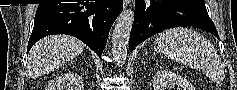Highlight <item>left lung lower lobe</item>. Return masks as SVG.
Listing matches in <instances>:
<instances>
[{"label":"left lung lower lobe","instance_id":"0a47b994","mask_svg":"<svg viewBox=\"0 0 237 90\" xmlns=\"http://www.w3.org/2000/svg\"><path fill=\"white\" fill-rule=\"evenodd\" d=\"M192 26L219 38L203 0H136L129 48L167 28Z\"/></svg>","mask_w":237,"mask_h":90}]
</instances>
